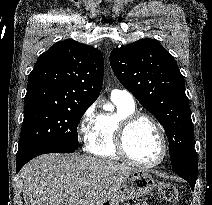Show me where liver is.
Listing matches in <instances>:
<instances>
[{"instance_id": "1", "label": "liver", "mask_w": 212, "mask_h": 205, "mask_svg": "<svg viewBox=\"0 0 212 205\" xmlns=\"http://www.w3.org/2000/svg\"><path fill=\"white\" fill-rule=\"evenodd\" d=\"M131 170L90 156L45 154L21 170L25 205H95L113 182Z\"/></svg>"}]
</instances>
